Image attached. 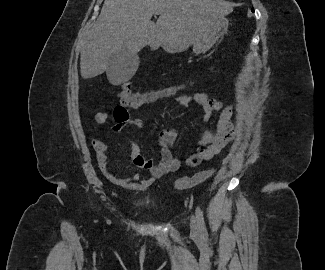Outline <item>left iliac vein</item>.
Here are the masks:
<instances>
[{
	"label": "left iliac vein",
	"instance_id": "1",
	"mask_svg": "<svg viewBox=\"0 0 325 270\" xmlns=\"http://www.w3.org/2000/svg\"><path fill=\"white\" fill-rule=\"evenodd\" d=\"M190 229H191V233L194 235H197L199 233L198 224L195 216L191 217Z\"/></svg>",
	"mask_w": 325,
	"mask_h": 270
}]
</instances>
